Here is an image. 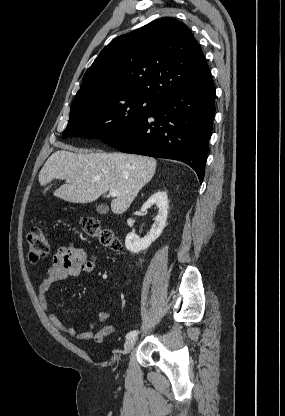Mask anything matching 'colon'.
I'll use <instances>...</instances> for the list:
<instances>
[{
	"label": "colon",
	"instance_id": "obj_1",
	"mask_svg": "<svg viewBox=\"0 0 285 416\" xmlns=\"http://www.w3.org/2000/svg\"><path fill=\"white\" fill-rule=\"evenodd\" d=\"M82 227L87 236L97 239L102 246L114 250L119 248L120 243L114 232L110 229L102 228L96 218L84 219ZM26 240L27 256L30 262L36 263L40 259L48 256L50 252L49 242L40 228H31Z\"/></svg>",
	"mask_w": 285,
	"mask_h": 416
}]
</instances>
